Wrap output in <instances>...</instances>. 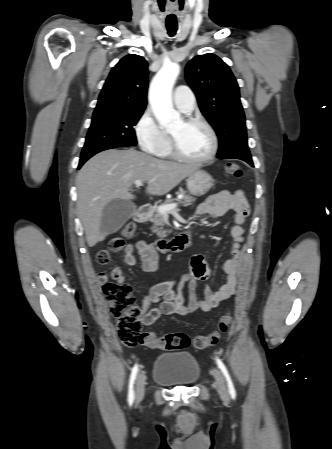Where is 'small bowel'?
<instances>
[{"instance_id":"c3829d8e","label":"small bowel","mask_w":332,"mask_h":449,"mask_svg":"<svg viewBox=\"0 0 332 449\" xmlns=\"http://www.w3.org/2000/svg\"><path fill=\"white\" fill-rule=\"evenodd\" d=\"M233 210L236 213L235 224L231 228L233 238L232 255L225 264L227 274L226 283L217 291H212L203 286V296L200 295V282L205 281L211 273V268L201 254H195L190 260L189 271L178 282L180 287L187 283L189 287V302L184 304V297L180 292L176 293L173 287L176 281H164L153 285L144 295L142 301V322L151 325L164 315H187L197 310L208 312L217 307L221 302L231 298L238 283V272L242 264L240 245L244 240L243 225L250 214V206L242 191H221L210 196L202 202L196 215L219 216ZM141 259V268L145 272L156 271L160 264V255L157 250L146 241H138L125 247L124 262L128 266L137 263L135 253ZM117 278H123V271L117 267ZM101 281V280H100ZM156 304L155 307H151Z\"/></svg>"}]
</instances>
